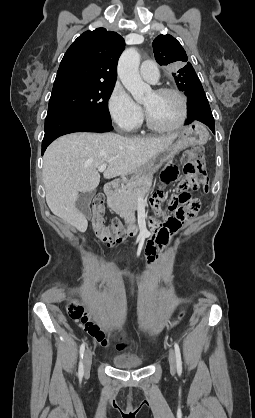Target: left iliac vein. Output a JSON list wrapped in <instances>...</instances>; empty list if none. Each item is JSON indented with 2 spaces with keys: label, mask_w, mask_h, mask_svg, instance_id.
<instances>
[{
  "label": "left iliac vein",
  "mask_w": 255,
  "mask_h": 418,
  "mask_svg": "<svg viewBox=\"0 0 255 418\" xmlns=\"http://www.w3.org/2000/svg\"><path fill=\"white\" fill-rule=\"evenodd\" d=\"M169 364H170V371L172 374L176 372V356L173 349L169 350Z\"/></svg>",
  "instance_id": "1"
}]
</instances>
